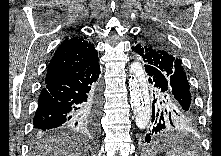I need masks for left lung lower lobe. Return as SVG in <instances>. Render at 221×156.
Returning <instances> with one entry per match:
<instances>
[{
  "mask_svg": "<svg viewBox=\"0 0 221 156\" xmlns=\"http://www.w3.org/2000/svg\"><path fill=\"white\" fill-rule=\"evenodd\" d=\"M145 71L150 84V118L145 142L157 141L171 133L191 129L196 122V113L186 110L174 97L170 75L152 66H145Z\"/></svg>",
  "mask_w": 221,
  "mask_h": 156,
  "instance_id": "1",
  "label": "left lung lower lobe"
}]
</instances>
